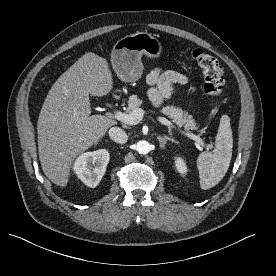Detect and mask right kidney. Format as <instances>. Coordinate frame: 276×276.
Segmentation results:
<instances>
[{"instance_id":"right-kidney-1","label":"right kidney","mask_w":276,"mask_h":276,"mask_svg":"<svg viewBox=\"0 0 276 276\" xmlns=\"http://www.w3.org/2000/svg\"><path fill=\"white\" fill-rule=\"evenodd\" d=\"M109 159V152L105 149L86 152L76 159L73 170L85 185L94 188L105 174Z\"/></svg>"}]
</instances>
